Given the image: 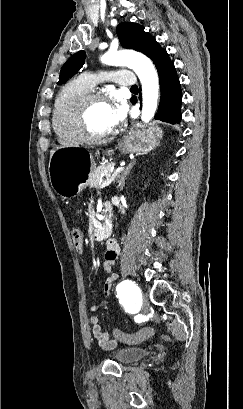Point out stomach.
Returning a JSON list of instances; mask_svg holds the SVG:
<instances>
[{
    "label": "stomach",
    "mask_w": 243,
    "mask_h": 409,
    "mask_svg": "<svg viewBox=\"0 0 243 409\" xmlns=\"http://www.w3.org/2000/svg\"><path fill=\"white\" fill-rule=\"evenodd\" d=\"M161 137L162 130L157 126L142 131L132 130L123 137L117 148L122 153H147L159 144ZM94 169L95 162L89 152L58 148L49 161L52 188L64 197L74 196L87 186L89 175Z\"/></svg>",
    "instance_id": "0dacf381"
}]
</instances>
